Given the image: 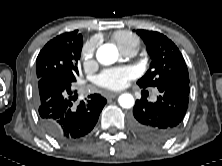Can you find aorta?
Instances as JSON below:
<instances>
[{"mask_svg": "<svg viewBox=\"0 0 222 166\" xmlns=\"http://www.w3.org/2000/svg\"><path fill=\"white\" fill-rule=\"evenodd\" d=\"M119 57L118 50L115 45L107 43L100 46L96 53V58L103 65H111L117 61ZM118 102L122 108L129 109L133 107L135 101L131 94L124 93L119 96Z\"/></svg>", "mask_w": 222, "mask_h": 166, "instance_id": "762f6f07", "label": "aorta"}]
</instances>
